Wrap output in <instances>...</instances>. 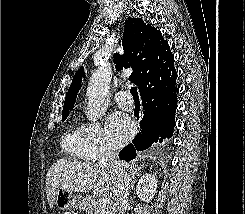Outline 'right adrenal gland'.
Returning <instances> with one entry per match:
<instances>
[{
  "label": "right adrenal gland",
  "instance_id": "1",
  "mask_svg": "<svg viewBox=\"0 0 245 214\" xmlns=\"http://www.w3.org/2000/svg\"><path fill=\"white\" fill-rule=\"evenodd\" d=\"M143 167V165L141 166H137L134 165L133 168L131 169V189L134 188V184L136 182V176H140V169Z\"/></svg>",
  "mask_w": 245,
  "mask_h": 214
}]
</instances>
